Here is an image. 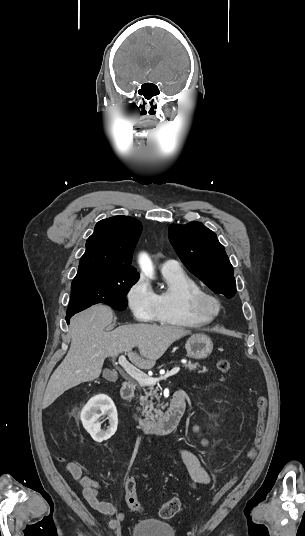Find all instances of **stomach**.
I'll list each match as a JSON object with an SVG mask.
<instances>
[{"instance_id":"0dacf381","label":"stomach","mask_w":305,"mask_h":536,"mask_svg":"<svg viewBox=\"0 0 305 536\" xmlns=\"http://www.w3.org/2000/svg\"><path fill=\"white\" fill-rule=\"evenodd\" d=\"M187 356L195 358V360H203L208 358L213 350V344L209 336L205 334H194L185 344Z\"/></svg>"}]
</instances>
